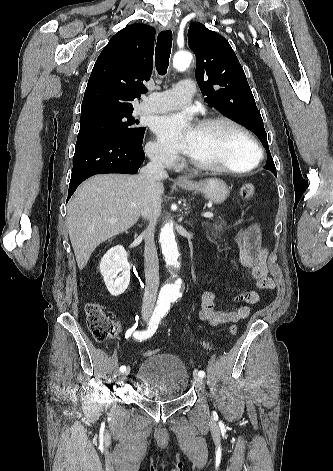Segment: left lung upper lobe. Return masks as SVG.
Wrapping results in <instances>:
<instances>
[{
    "label": "left lung upper lobe",
    "mask_w": 333,
    "mask_h": 471,
    "mask_svg": "<svg viewBox=\"0 0 333 471\" xmlns=\"http://www.w3.org/2000/svg\"><path fill=\"white\" fill-rule=\"evenodd\" d=\"M188 41L197 57L195 76L205 101L259 138L267 151L264 168L277 176L261 114L232 47L223 36L199 22L190 25Z\"/></svg>",
    "instance_id": "1"
}]
</instances>
